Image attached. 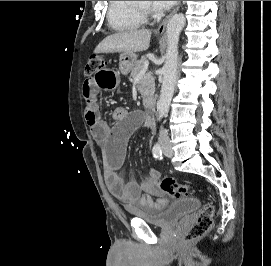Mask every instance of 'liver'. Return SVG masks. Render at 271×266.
I'll return each instance as SVG.
<instances>
[{
	"label": "liver",
	"instance_id": "1",
	"mask_svg": "<svg viewBox=\"0 0 271 266\" xmlns=\"http://www.w3.org/2000/svg\"><path fill=\"white\" fill-rule=\"evenodd\" d=\"M151 30L139 29L107 36L95 48L94 53L140 52L148 49Z\"/></svg>",
	"mask_w": 271,
	"mask_h": 266
}]
</instances>
